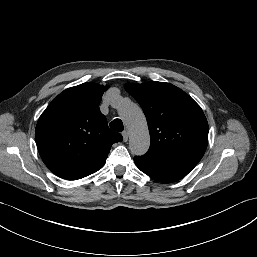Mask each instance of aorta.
Masks as SVG:
<instances>
[{
    "instance_id": "762f6f07",
    "label": "aorta",
    "mask_w": 257,
    "mask_h": 257,
    "mask_svg": "<svg viewBox=\"0 0 257 257\" xmlns=\"http://www.w3.org/2000/svg\"><path fill=\"white\" fill-rule=\"evenodd\" d=\"M118 110L130 131V150L135 155H143L150 146L147 122L141 108L135 103L121 99Z\"/></svg>"
}]
</instances>
